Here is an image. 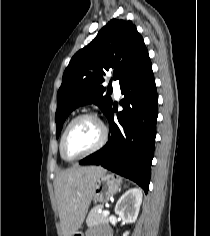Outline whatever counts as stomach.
Wrapping results in <instances>:
<instances>
[{"label": "stomach", "instance_id": "0dacf381", "mask_svg": "<svg viewBox=\"0 0 210 236\" xmlns=\"http://www.w3.org/2000/svg\"><path fill=\"white\" fill-rule=\"evenodd\" d=\"M120 189V180L113 175L103 174L95 182L92 200L104 203ZM73 236H83L76 232Z\"/></svg>", "mask_w": 210, "mask_h": 236}]
</instances>
